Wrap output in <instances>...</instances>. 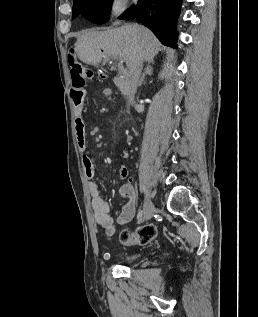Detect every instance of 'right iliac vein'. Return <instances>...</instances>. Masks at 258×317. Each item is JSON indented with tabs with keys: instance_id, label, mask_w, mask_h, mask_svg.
I'll return each instance as SVG.
<instances>
[{
	"instance_id": "obj_1",
	"label": "right iliac vein",
	"mask_w": 258,
	"mask_h": 317,
	"mask_svg": "<svg viewBox=\"0 0 258 317\" xmlns=\"http://www.w3.org/2000/svg\"><path fill=\"white\" fill-rule=\"evenodd\" d=\"M143 213H144V222H150L154 213V202L150 200L149 197H146L143 200Z\"/></svg>"
}]
</instances>
